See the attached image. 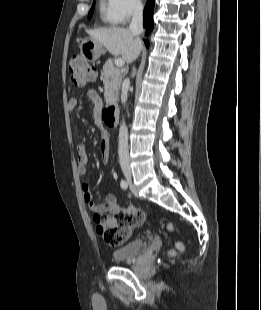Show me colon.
I'll return each instance as SVG.
<instances>
[{"mask_svg": "<svg viewBox=\"0 0 261 310\" xmlns=\"http://www.w3.org/2000/svg\"><path fill=\"white\" fill-rule=\"evenodd\" d=\"M71 82L76 88H84L93 82L96 71L83 57L74 56L69 62ZM125 211L112 214H103L96 217L97 231L103 240L111 246L123 244L130 236L131 229L141 227L145 216L143 208H136L135 202L130 200L125 206ZM171 223L166 225L167 230H172ZM183 250L181 243H176L175 248L169 254L177 255Z\"/></svg>", "mask_w": 261, "mask_h": 310, "instance_id": "obj_1", "label": "colon"}]
</instances>
